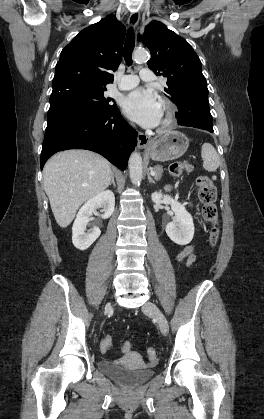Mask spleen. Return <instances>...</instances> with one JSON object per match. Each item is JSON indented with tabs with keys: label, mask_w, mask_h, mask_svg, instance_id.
<instances>
[{
	"label": "spleen",
	"mask_w": 264,
	"mask_h": 419,
	"mask_svg": "<svg viewBox=\"0 0 264 419\" xmlns=\"http://www.w3.org/2000/svg\"><path fill=\"white\" fill-rule=\"evenodd\" d=\"M201 157L203 160V168L206 171L214 172L217 170L220 164L219 156L210 143H204L202 145Z\"/></svg>",
	"instance_id": "spleen-1"
}]
</instances>
